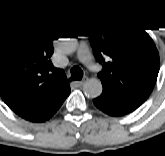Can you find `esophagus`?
<instances>
[{"mask_svg": "<svg viewBox=\"0 0 165 156\" xmlns=\"http://www.w3.org/2000/svg\"><path fill=\"white\" fill-rule=\"evenodd\" d=\"M84 82H85V79H83L82 81H76L75 84L77 86H82L84 84Z\"/></svg>", "mask_w": 165, "mask_h": 156, "instance_id": "1", "label": "esophagus"}]
</instances>
